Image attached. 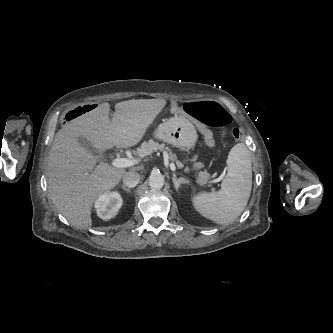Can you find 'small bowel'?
<instances>
[{"label": "small bowel", "mask_w": 333, "mask_h": 333, "mask_svg": "<svg viewBox=\"0 0 333 333\" xmlns=\"http://www.w3.org/2000/svg\"><path fill=\"white\" fill-rule=\"evenodd\" d=\"M169 108L167 107L164 110L160 109L158 112L160 114H162V113L165 114L166 112H168L169 110H171L176 115L182 116L186 121H188L189 123H191L194 127H196L200 132L203 133V135L205 136V139L209 143V147L211 149H214L216 147V144L214 143V139L210 135V131L204 125H202L197 119H195L193 116H191L190 114H188L185 110L180 109L178 106L171 105ZM194 167L195 168H199L200 164L199 163H194Z\"/></svg>", "instance_id": "1"}]
</instances>
